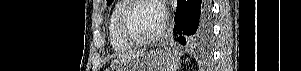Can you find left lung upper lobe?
I'll use <instances>...</instances> for the list:
<instances>
[{"label":"left lung upper lobe","instance_id":"1","mask_svg":"<svg viewBox=\"0 0 301 71\" xmlns=\"http://www.w3.org/2000/svg\"><path fill=\"white\" fill-rule=\"evenodd\" d=\"M113 2V0H107V4L110 5Z\"/></svg>","mask_w":301,"mask_h":71}]
</instances>
